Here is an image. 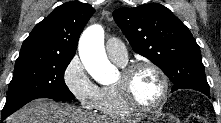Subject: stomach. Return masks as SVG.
Returning a JSON list of instances; mask_svg holds the SVG:
<instances>
[{
    "instance_id": "stomach-1",
    "label": "stomach",
    "mask_w": 221,
    "mask_h": 123,
    "mask_svg": "<svg viewBox=\"0 0 221 123\" xmlns=\"http://www.w3.org/2000/svg\"><path fill=\"white\" fill-rule=\"evenodd\" d=\"M136 123H179L169 113L157 110L136 120Z\"/></svg>"
}]
</instances>
